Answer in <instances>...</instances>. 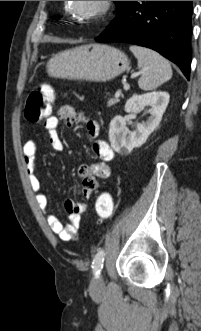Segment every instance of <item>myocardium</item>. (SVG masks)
<instances>
[{"label": "myocardium", "instance_id": "f54148a6", "mask_svg": "<svg viewBox=\"0 0 201 331\" xmlns=\"http://www.w3.org/2000/svg\"><path fill=\"white\" fill-rule=\"evenodd\" d=\"M71 9L72 11L77 15L80 16L84 19L87 20H94V19H98L103 17L104 15H106L110 9H111V4L112 1H96V9L91 12V13H87V14H83L81 13L77 7H76V1H71Z\"/></svg>", "mask_w": 201, "mask_h": 331}]
</instances>
